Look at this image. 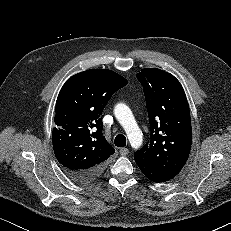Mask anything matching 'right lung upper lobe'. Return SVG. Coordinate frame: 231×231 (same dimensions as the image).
<instances>
[{
  "instance_id": "obj_1",
  "label": "right lung upper lobe",
  "mask_w": 231,
  "mask_h": 231,
  "mask_svg": "<svg viewBox=\"0 0 231 231\" xmlns=\"http://www.w3.org/2000/svg\"><path fill=\"white\" fill-rule=\"evenodd\" d=\"M127 84L107 69H90L69 78L56 102L52 141L55 157L68 172L103 168L115 150L102 134L101 114Z\"/></svg>"
}]
</instances>
